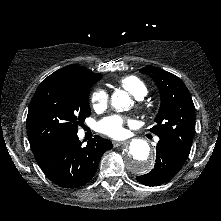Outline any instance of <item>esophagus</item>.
<instances>
[{"instance_id": "34e87169", "label": "esophagus", "mask_w": 221, "mask_h": 221, "mask_svg": "<svg viewBox=\"0 0 221 221\" xmlns=\"http://www.w3.org/2000/svg\"><path fill=\"white\" fill-rule=\"evenodd\" d=\"M126 144H128V141H113L114 147H119V146L126 145Z\"/></svg>"}]
</instances>
